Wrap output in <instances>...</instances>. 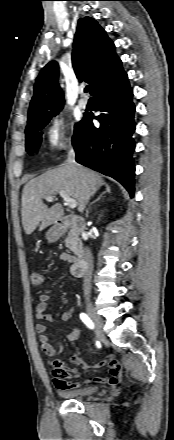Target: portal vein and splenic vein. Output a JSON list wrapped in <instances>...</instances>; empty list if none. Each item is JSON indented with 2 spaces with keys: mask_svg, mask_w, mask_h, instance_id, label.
Listing matches in <instances>:
<instances>
[{
  "mask_svg": "<svg viewBox=\"0 0 174 440\" xmlns=\"http://www.w3.org/2000/svg\"><path fill=\"white\" fill-rule=\"evenodd\" d=\"M58 193H59V195L63 198V200L66 202V204L68 205L69 208H71V209L76 208V206H77V202H76L75 199H72V198H71L66 192H64V191H60V192H58ZM53 197H54V196H52V195H48V196H45L44 198H45L47 201H52V200H53Z\"/></svg>",
  "mask_w": 174,
  "mask_h": 440,
  "instance_id": "18ae733b",
  "label": "portal vein and splenic vein"
}]
</instances>
